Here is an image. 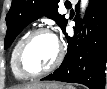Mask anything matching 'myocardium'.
Masks as SVG:
<instances>
[{
    "mask_svg": "<svg viewBox=\"0 0 107 89\" xmlns=\"http://www.w3.org/2000/svg\"><path fill=\"white\" fill-rule=\"evenodd\" d=\"M42 33L51 34V35H53L55 37V39L57 40V43H58V54H57V57L54 60V62L49 67H47V68H45L43 70L37 71V72H29L23 66V55H24V52H25L29 42L36 35L42 34ZM63 57H64V49H63V46L61 45L60 41L56 37L55 33L49 27L41 26V27H37V28L33 29L23 39V41L20 44V47L18 49V52H17L16 65H17L18 70L25 77H27V78H35V77H39V76L45 75V74L53 71L54 69H56L60 65V63L62 62Z\"/></svg>",
    "mask_w": 107,
    "mask_h": 89,
    "instance_id": "myocardium-1",
    "label": "myocardium"
}]
</instances>
